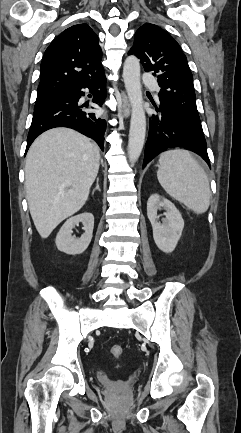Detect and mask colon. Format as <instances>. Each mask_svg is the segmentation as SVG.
<instances>
[{
	"label": "colon",
	"mask_w": 241,
	"mask_h": 433,
	"mask_svg": "<svg viewBox=\"0 0 241 433\" xmlns=\"http://www.w3.org/2000/svg\"><path fill=\"white\" fill-rule=\"evenodd\" d=\"M110 354L114 357V358H120L123 355V348L120 345H113L110 348Z\"/></svg>",
	"instance_id": "5ec220e1"
}]
</instances>
